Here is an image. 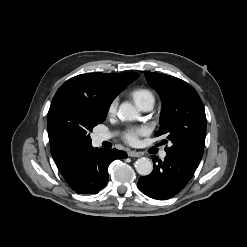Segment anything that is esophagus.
Wrapping results in <instances>:
<instances>
[{
	"mask_svg": "<svg viewBox=\"0 0 247 247\" xmlns=\"http://www.w3.org/2000/svg\"><path fill=\"white\" fill-rule=\"evenodd\" d=\"M128 156H130V157H141L142 153L132 150V151L128 152Z\"/></svg>",
	"mask_w": 247,
	"mask_h": 247,
	"instance_id": "obj_1",
	"label": "esophagus"
}]
</instances>
